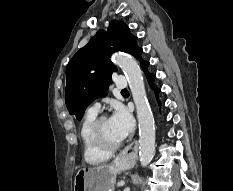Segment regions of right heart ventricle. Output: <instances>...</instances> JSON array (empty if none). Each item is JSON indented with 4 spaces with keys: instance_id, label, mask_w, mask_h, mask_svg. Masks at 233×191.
I'll list each match as a JSON object with an SVG mask.
<instances>
[{
    "instance_id": "right-heart-ventricle-1",
    "label": "right heart ventricle",
    "mask_w": 233,
    "mask_h": 191,
    "mask_svg": "<svg viewBox=\"0 0 233 191\" xmlns=\"http://www.w3.org/2000/svg\"><path fill=\"white\" fill-rule=\"evenodd\" d=\"M97 113L88 111L80 125L79 136L82 144L84 159L89 164H99L110 158L109 153L97 150L90 142L89 131L92 122L96 118Z\"/></svg>"
}]
</instances>
